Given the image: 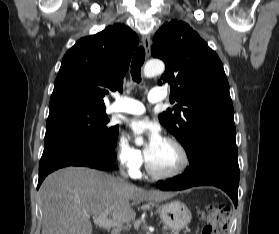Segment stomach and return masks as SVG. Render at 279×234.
Segmentation results:
<instances>
[{"mask_svg":"<svg viewBox=\"0 0 279 234\" xmlns=\"http://www.w3.org/2000/svg\"><path fill=\"white\" fill-rule=\"evenodd\" d=\"M156 207L163 223L173 232H179L191 221L192 215L190 210L179 201L156 205Z\"/></svg>","mask_w":279,"mask_h":234,"instance_id":"1","label":"stomach"}]
</instances>
